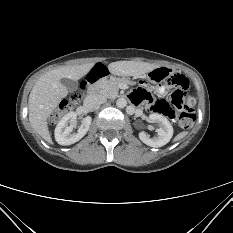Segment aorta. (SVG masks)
Here are the masks:
<instances>
[{
    "label": "aorta",
    "instance_id": "762f6f07",
    "mask_svg": "<svg viewBox=\"0 0 233 233\" xmlns=\"http://www.w3.org/2000/svg\"><path fill=\"white\" fill-rule=\"evenodd\" d=\"M126 105H127V101H126V99H124V98H119V99L116 101V106H117L118 108H124V107H126Z\"/></svg>",
    "mask_w": 233,
    "mask_h": 233
}]
</instances>
